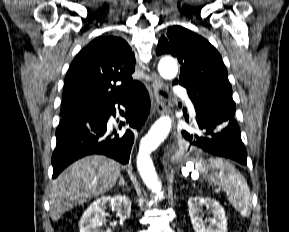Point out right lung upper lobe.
<instances>
[{
  "label": "right lung upper lobe",
  "instance_id": "1",
  "mask_svg": "<svg viewBox=\"0 0 289 232\" xmlns=\"http://www.w3.org/2000/svg\"><path fill=\"white\" fill-rule=\"evenodd\" d=\"M135 56L119 37L101 36L75 57L65 77L61 111L85 110L128 98L141 85L132 79Z\"/></svg>",
  "mask_w": 289,
  "mask_h": 232
}]
</instances>
